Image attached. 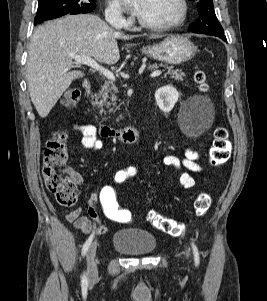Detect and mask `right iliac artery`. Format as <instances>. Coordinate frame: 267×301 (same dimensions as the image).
Segmentation results:
<instances>
[{"label": "right iliac artery", "instance_id": "right-iliac-artery-1", "mask_svg": "<svg viewBox=\"0 0 267 301\" xmlns=\"http://www.w3.org/2000/svg\"><path fill=\"white\" fill-rule=\"evenodd\" d=\"M93 237H94V233L91 234L89 236V238L86 240V242L84 243L83 248H82V255L83 256L86 254V252H87V250H88V248H89V246H90V244H91V242L93 240ZM81 282H82V285H86L87 284L88 281H87V277H86L85 274H83Z\"/></svg>", "mask_w": 267, "mask_h": 301}]
</instances>
